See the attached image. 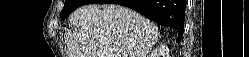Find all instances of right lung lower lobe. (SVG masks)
Listing matches in <instances>:
<instances>
[{
    "label": "right lung lower lobe",
    "mask_w": 249,
    "mask_h": 57,
    "mask_svg": "<svg viewBox=\"0 0 249 57\" xmlns=\"http://www.w3.org/2000/svg\"><path fill=\"white\" fill-rule=\"evenodd\" d=\"M92 3H114L129 7L159 25L175 28L181 38L184 31V0H92Z\"/></svg>",
    "instance_id": "obj_1"
}]
</instances>
